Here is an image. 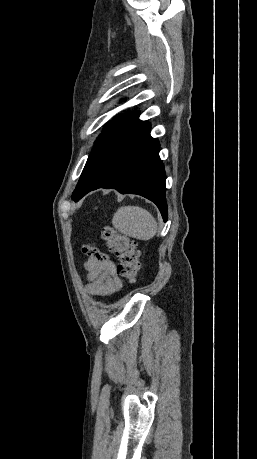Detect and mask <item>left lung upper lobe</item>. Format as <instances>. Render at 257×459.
I'll return each instance as SVG.
<instances>
[{
    "label": "left lung upper lobe",
    "mask_w": 257,
    "mask_h": 459,
    "mask_svg": "<svg viewBox=\"0 0 257 459\" xmlns=\"http://www.w3.org/2000/svg\"><path fill=\"white\" fill-rule=\"evenodd\" d=\"M118 121L114 120L112 122H109L106 124V127L103 131V133L97 138L95 142V146L90 153L88 160L86 162V165L83 169V172L81 174L80 180L76 186V189L74 190L72 194V199L74 201H78L81 199L87 192V190L90 188V186L93 184L94 179L96 177L97 171L100 166V158H101V152H100V146L101 143L107 133V131Z\"/></svg>",
    "instance_id": "5c2ea615"
}]
</instances>
